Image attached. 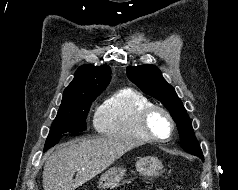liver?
Listing matches in <instances>:
<instances>
[{
	"label": "liver",
	"instance_id": "6515ba94",
	"mask_svg": "<svg viewBox=\"0 0 238 190\" xmlns=\"http://www.w3.org/2000/svg\"><path fill=\"white\" fill-rule=\"evenodd\" d=\"M140 145L138 141L120 137L82 139L63 144L45 162L43 188L75 190Z\"/></svg>",
	"mask_w": 238,
	"mask_h": 190
}]
</instances>
